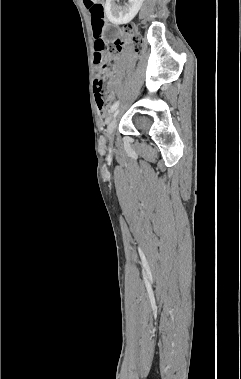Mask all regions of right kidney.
Returning <instances> with one entry per match:
<instances>
[{
	"label": "right kidney",
	"mask_w": 241,
	"mask_h": 379,
	"mask_svg": "<svg viewBox=\"0 0 241 379\" xmlns=\"http://www.w3.org/2000/svg\"><path fill=\"white\" fill-rule=\"evenodd\" d=\"M115 1L106 0L105 13L112 24L121 25L129 23L137 15L144 0H128V4L123 8L119 7Z\"/></svg>",
	"instance_id": "right-kidney-1"
}]
</instances>
